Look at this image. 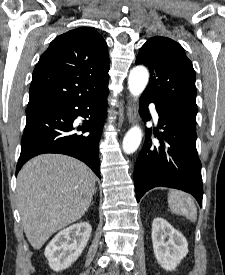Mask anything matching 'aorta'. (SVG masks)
<instances>
[{
    "instance_id": "1",
    "label": "aorta",
    "mask_w": 225,
    "mask_h": 275,
    "mask_svg": "<svg viewBox=\"0 0 225 275\" xmlns=\"http://www.w3.org/2000/svg\"><path fill=\"white\" fill-rule=\"evenodd\" d=\"M149 80V72L143 66L134 67L128 77V88L130 93L138 97L142 94ZM142 139V131L140 127H132L125 135L122 143L123 151L126 154L134 153Z\"/></svg>"
}]
</instances>
